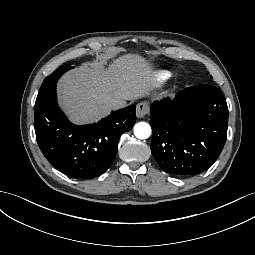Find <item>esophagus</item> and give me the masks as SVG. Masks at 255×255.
<instances>
[{
    "instance_id": "esophagus-1",
    "label": "esophagus",
    "mask_w": 255,
    "mask_h": 255,
    "mask_svg": "<svg viewBox=\"0 0 255 255\" xmlns=\"http://www.w3.org/2000/svg\"><path fill=\"white\" fill-rule=\"evenodd\" d=\"M150 105L148 102L143 101L137 104L136 107V116L142 118L149 113Z\"/></svg>"
}]
</instances>
